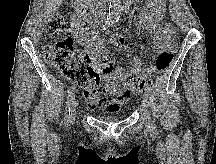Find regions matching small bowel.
<instances>
[{"mask_svg":"<svg viewBox=\"0 0 216 164\" xmlns=\"http://www.w3.org/2000/svg\"><path fill=\"white\" fill-rule=\"evenodd\" d=\"M165 10L166 0H146L139 16V24L155 34L153 49L156 55L167 47L168 34L171 31L169 25L162 26ZM72 18L77 23L72 33L85 48L83 57L92 65L104 68L105 74V86L84 91L86 105L90 109L119 111L128 103L132 78L143 70L144 63L133 56L131 51H127L129 70L125 71L122 66L116 65L114 53L106 52L105 39L98 34L95 27L81 23L76 14ZM109 39L118 49L123 48L124 40L121 36L111 35Z\"/></svg>","mask_w":216,"mask_h":164,"instance_id":"obj_1","label":"small bowel"}]
</instances>
